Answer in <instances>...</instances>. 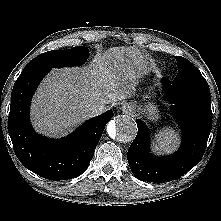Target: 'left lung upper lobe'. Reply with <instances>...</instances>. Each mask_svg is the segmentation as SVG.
<instances>
[{
    "label": "left lung upper lobe",
    "instance_id": "5c2ea615",
    "mask_svg": "<svg viewBox=\"0 0 221 221\" xmlns=\"http://www.w3.org/2000/svg\"><path fill=\"white\" fill-rule=\"evenodd\" d=\"M178 74L173 84L206 81L200 71L186 58L177 56Z\"/></svg>",
    "mask_w": 221,
    "mask_h": 221
}]
</instances>
